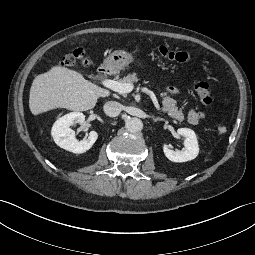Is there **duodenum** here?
Returning a JSON list of instances; mask_svg holds the SVG:
<instances>
[{
	"label": "duodenum",
	"instance_id": "obj_1",
	"mask_svg": "<svg viewBox=\"0 0 255 255\" xmlns=\"http://www.w3.org/2000/svg\"><path fill=\"white\" fill-rule=\"evenodd\" d=\"M98 75L101 77L112 75L111 70L107 67V64H104L98 69Z\"/></svg>",
	"mask_w": 255,
	"mask_h": 255
}]
</instances>
